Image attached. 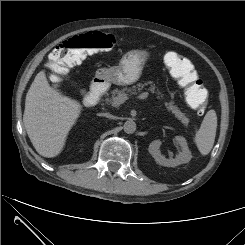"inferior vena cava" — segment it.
Wrapping results in <instances>:
<instances>
[{"label": "inferior vena cava", "instance_id": "obj_1", "mask_svg": "<svg viewBox=\"0 0 245 245\" xmlns=\"http://www.w3.org/2000/svg\"><path fill=\"white\" fill-rule=\"evenodd\" d=\"M101 115H102V116H105V117H107V118H110V119H114V118H115L114 116H112V115H110V114H107V113H102Z\"/></svg>", "mask_w": 245, "mask_h": 245}]
</instances>
